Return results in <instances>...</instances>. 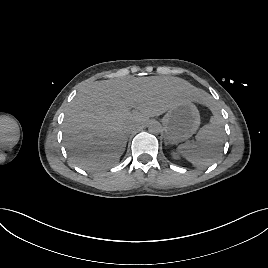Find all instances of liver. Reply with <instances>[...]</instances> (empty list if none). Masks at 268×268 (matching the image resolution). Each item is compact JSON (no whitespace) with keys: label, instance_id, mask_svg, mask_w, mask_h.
<instances>
[{"label":"liver","instance_id":"1","mask_svg":"<svg viewBox=\"0 0 268 268\" xmlns=\"http://www.w3.org/2000/svg\"><path fill=\"white\" fill-rule=\"evenodd\" d=\"M204 94L177 77H125L83 87L69 104L63 123L72 161L86 171L116 165L125 151L127 128L138 127Z\"/></svg>","mask_w":268,"mask_h":268}]
</instances>
